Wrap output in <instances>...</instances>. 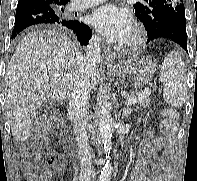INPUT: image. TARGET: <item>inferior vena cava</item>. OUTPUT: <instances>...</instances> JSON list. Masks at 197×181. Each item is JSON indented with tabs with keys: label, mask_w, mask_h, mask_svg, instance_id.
Here are the masks:
<instances>
[{
	"label": "inferior vena cava",
	"mask_w": 197,
	"mask_h": 181,
	"mask_svg": "<svg viewBox=\"0 0 197 181\" xmlns=\"http://www.w3.org/2000/svg\"><path fill=\"white\" fill-rule=\"evenodd\" d=\"M101 38L94 35L86 47V55L81 59L80 69L72 88L68 115L73 123L78 154L80 158V181H91L92 162L87 137V104L90 96V76L100 61Z\"/></svg>",
	"instance_id": "602c4592"
}]
</instances>
